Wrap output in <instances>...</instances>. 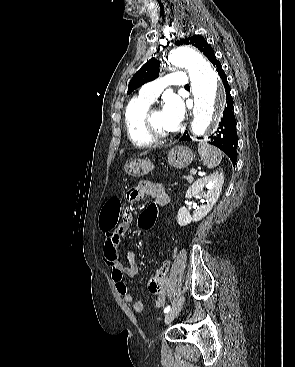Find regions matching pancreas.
I'll list each match as a JSON object with an SVG mask.
<instances>
[{"label": "pancreas", "instance_id": "cf45deb5", "mask_svg": "<svg viewBox=\"0 0 295 367\" xmlns=\"http://www.w3.org/2000/svg\"><path fill=\"white\" fill-rule=\"evenodd\" d=\"M184 179H186L189 183L193 182L194 178L190 175V176H185L183 177Z\"/></svg>", "mask_w": 295, "mask_h": 367}]
</instances>
